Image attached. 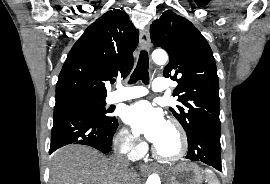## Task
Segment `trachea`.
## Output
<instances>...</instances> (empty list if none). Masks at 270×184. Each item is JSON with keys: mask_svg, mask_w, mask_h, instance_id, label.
<instances>
[{"mask_svg": "<svg viewBox=\"0 0 270 184\" xmlns=\"http://www.w3.org/2000/svg\"><path fill=\"white\" fill-rule=\"evenodd\" d=\"M149 58L148 53L145 50L140 52L139 60L136 69L130 77V83H136L138 80H142L143 83H149Z\"/></svg>", "mask_w": 270, "mask_h": 184, "instance_id": "obj_1", "label": "trachea"}]
</instances>
